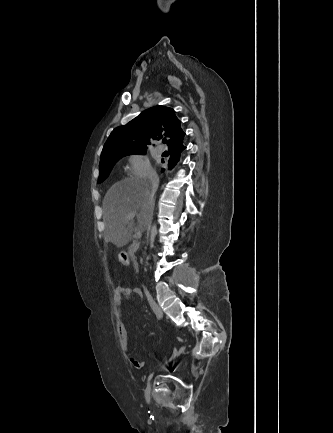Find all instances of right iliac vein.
Segmentation results:
<instances>
[{
    "label": "right iliac vein",
    "instance_id": "obj_1",
    "mask_svg": "<svg viewBox=\"0 0 333 433\" xmlns=\"http://www.w3.org/2000/svg\"><path fill=\"white\" fill-rule=\"evenodd\" d=\"M180 353H181V352L179 351V354H180ZM147 388L151 390V384H148Z\"/></svg>",
    "mask_w": 333,
    "mask_h": 433
}]
</instances>
